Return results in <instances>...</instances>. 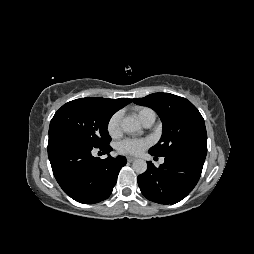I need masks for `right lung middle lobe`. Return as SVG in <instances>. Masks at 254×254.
Returning <instances> with one entry per match:
<instances>
[{
  "label": "right lung middle lobe",
  "mask_w": 254,
  "mask_h": 254,
  "mask_svg": "<svg viewBox=\"0 0 254 254\" xmlns=\"http://www.w3.org/2000/svg\"><path fill=\"white\" fill-rule=\"evenodd\" d=\"M115 113L102 98L87 97L64 104L50 122L49 136L58 134L104 147L111 137L108 122Z\"/></svg>",
  "instance_id": "obj_1"
}]
</instances>
